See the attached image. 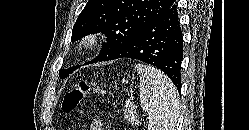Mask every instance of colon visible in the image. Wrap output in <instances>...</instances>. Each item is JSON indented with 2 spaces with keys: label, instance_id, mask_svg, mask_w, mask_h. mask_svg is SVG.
<instances>
[{
  "label": "colon",
  "instance_id": "5ec220e1",
  "mask_svg": "<svg viewBox=\"0 0 249 130\" xmlns=\"http://www.w3.org/2000/svg\"><path fill=\"white\" fill-rule=\"evenodd\" d=\"M103 89L96 83L81 81L75 84L63 97L61 109L64 113L74 111L89 95L102 96Z\"/></svg>",
  "mask_w": 249,
  "mask_h": 130
}]
</instances>
